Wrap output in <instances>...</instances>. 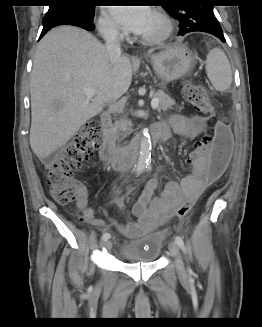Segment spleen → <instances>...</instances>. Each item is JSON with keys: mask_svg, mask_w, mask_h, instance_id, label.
Masks as SVG:
<instances>
[{"mask_svg": "<svg viewBox=\"0 0 262 327\" xmlns=\"http://www.w3.org/2000/svg\"><path fill=\"white\" fill-rule=\"evenodd\" d=\"M206 73L215 90L223 92L230 88L232 71L228 58L219 49H212L206 58Z\"/></svg>", "mask_w": 262, "mask_h": 327, "instance_id": "spleen-1", "label": "spleen"}]
</instances>
